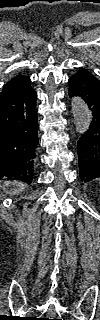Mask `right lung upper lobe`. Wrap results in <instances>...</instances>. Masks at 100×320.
Returning <instances> with one entry per match:
<instances>
[{
  "mask_svg": "<svg viewBox=\"0 0 100 320\" xmlns=\"http://www.w3.org/2000/svg\"><path fill=\"white\" fill-rule=\"evenodd\" d=\"M30 82L31 80L26 76H15L4 86L0 94V99L24 94L31 87Z\"/></svg>",
  "mask_w": 100,
  "mask_h": 320,
  "instance_id": "obj_1",
  "label": "right lung upper lobe"
}]
</instances>
